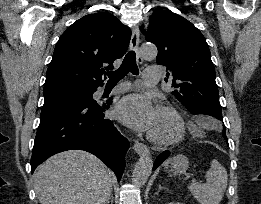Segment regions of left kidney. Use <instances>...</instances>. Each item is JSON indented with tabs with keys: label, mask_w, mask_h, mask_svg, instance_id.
<instances>
[{
	"label": "left kidney",
	"mask_w": 261,
	"mask_h": 204,
	"mask_svg": "<svg viewBox=\"0 0 261 204\" xmlns=\"http://www.w3.org/2000/svg\"><path fill=\"white\" fill-rule=\"evenodd\" d=\"M168 204H183V203H179V202H170Z\"/></svg>",
	"instance_id": "obj_1"
}]
</instances>
